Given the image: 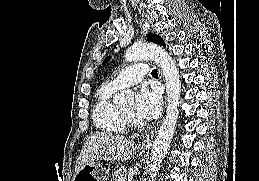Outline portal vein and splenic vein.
I'll list each match as a JSON object with an SVG mask.
<instances>
[{
  "label": "portal vein and splenic vein",
  "instance_id": "1",
  "mask_svg": "<svg viewBox=\"0 0 259 181\" xmlns=\"http://www.w3.org/2000/svg\"><path fill=\"white\" fill-rule=\"evenodd\" d=\"M119 181H125V179L124 178H120V180Z\"/></svg>",
  "mask_w": 259,
  "mask_h": 181
}]
</instances>
